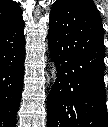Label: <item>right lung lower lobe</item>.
<instances>
[{"mask_svg": "<svg viewBox=\"0 0 108 127\" xmlns=\"http://www.w3.org/2000/svg\"><path fill=\"white\" fill-rule=\"evenodd\" d=\"M25 59L24 21L0 25V126L15 127Z\"/></svg>", "mask_w": 108, "mask_h": 127, "instance_id": "1", "label": "right lung lower lobe"}]
</instances>
